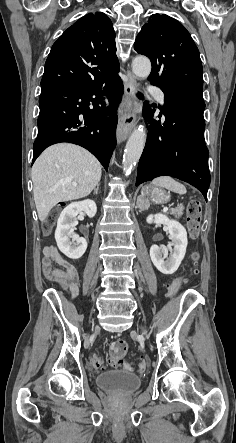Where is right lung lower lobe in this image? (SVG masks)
Segmentation results:
<instances>
[{"mask_svg":"<svg viewBox=\"0 0 236 443\" xmlns=\"http://www.w3.org/2000/svg\"><path fill=\"white\" fill-rule=\"evenodd\" d=\"M122 90L118 74L91 85L42 88L33 162L48 146L69 142L89 150L107 170L116 145V109Z\"/></svg>","mask_w":236,"mask_h":443,"instance_id":"98d812e1","label":"right lung lower lobe"}]
</instances>
